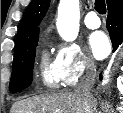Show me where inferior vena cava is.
Returning a JSON list of instances; mask_svg holds the SVG:
<instances>
[{
  "instance_id": "1",
  "label": "inferior vena cava",
  "mask_w": 123,
  "mask_h": 113,
  "mask_svg": "<svg viewBox=\"0 0 123 113\" xmlns=\"http://www.w3.org/2000/svg\"><path fill=\"white\" fill-rule=\"evenodd\" d=\"M96 68L92 62L86 64L84 73L81 75L79 83L75 89V92L81 96L86 102H90L94 107V110L90 113H94L96 108V101L91 92L92 87L95 83Z\"/></svg>"
}]
</instances>
